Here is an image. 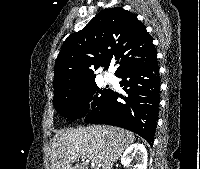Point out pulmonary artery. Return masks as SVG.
<instances>
[{"label": "pulmonary artery", "instance_id": "1", "mask_svg": "<svg viewBox=\"0 0 200 169\" xmlns=\"http://www.w3.org/2000/svg\"><path fill=\"white\" fill-rule=\"evenodd\" d=\"M112 77L111 76H106L105 77V81H107V82H112Z\"/></svg>", "mask_w": 200, "mask_h": 169}]
</instances>
